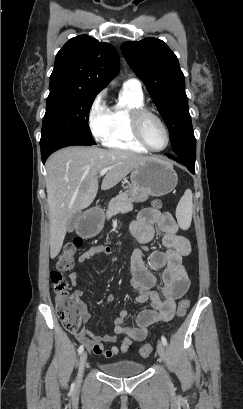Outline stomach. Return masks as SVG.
Wrapping results in <instances>:
<instances>
[{
	"label": "stomach",
	"mask_w": 243,
	"mask_h": 409,
	"mask_svg": "<svg viewBox=\"0 0 243 409\" xmlns=\"http://www.w3.org/2000/svg\"><path fill=\"white\" fill-rule=\"evenodd\" d=\"M128 193L135 202H144L150 196L159 197L170 193L177 185L178 176L172 164L153 158L136 167L130 175ZM103 228V221L96 223L94 229L85 236H94Z\"/></svg>",
	"instance_id": "obj_1"
}]
</instances>
